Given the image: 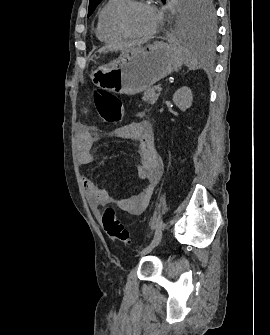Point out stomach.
I'll list each match as a JSON object with an SVG mask.
<instances>
[{
  "mask_svg": "<svg viewBox=\"0 0 270 335\" xmlns=\"http://www.w3.org/2000/svg\"><path fill=\"white\" fill-rule=\"evenodd\" d=\"M184 60V52L176 44L154 42L146 48L124 52L112 66L95 70L91 80L102 90L134 96L179 70Z\"/></svg>",
  "mask_w": 270,
  "mask_h": 335,
  "instance_id": "obj_1",
  "label": "stomach"
}]
</instances>
